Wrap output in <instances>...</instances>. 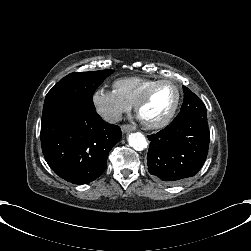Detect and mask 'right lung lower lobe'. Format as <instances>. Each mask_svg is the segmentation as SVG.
Listing matches in <instances>:
<instances>
[{
    "label": "right lung lower lobe",
    "mask_w": 251,
    "mask_h": 251,
    "mask_svg": "<svg viewBox=\"0 0 251 251\" xmlns=\"http://www.w3.org/2000/svg\"><path fill=\"white\" fill-rule=\"evenodd\" d=\"M121 129L104 122L96 110L66 104L42 118L41 146L46 162L73 184L89 183L106 169Z\"/></svg>",
    "instance_id": "obj_1"
}]
</instances>
